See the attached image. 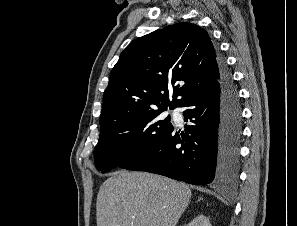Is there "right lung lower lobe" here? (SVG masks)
Segmentation results:
<instances>
[{"label": "right lung lower lobe", "mask_w": 297, "mask_h": 226, "mask_svg": "<svg viewBox=\"0 0 297 226\" xmlns=\"http://www.w3.org/2000/svg\"><path fill=\"white\" fill-rule=\"evenodd\" d=\"M220 78L209 90L189 96L180 107L192 124L174 128L147 153L123 168L157 173L189 184L225 185L238 178L242 110L237 87L223 59Z\"/></svg>", "instance_id": "obj_1"}]
</instances>
